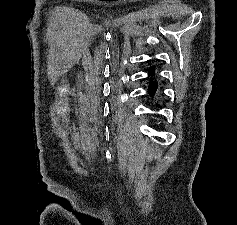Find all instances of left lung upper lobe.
Listing matches in <instances>:
<instances>
[{"instance_id": "left-lung-upper-lobe-1", "label": "left lung upper lobe", "mask_w": 237, "mask_h": 225, "mask_svg": "<svg viewBox=\"0 0 237 225\" xmlns=\"http://www.w3.org/2000/svg\"><path fill=\"white\" fill-rule=\"evenodd\" d=\"M154 72H155L154 68H150V69H149V73H150V74H154Z\"/></svg>"}]
</instances>
